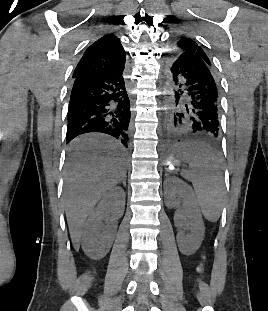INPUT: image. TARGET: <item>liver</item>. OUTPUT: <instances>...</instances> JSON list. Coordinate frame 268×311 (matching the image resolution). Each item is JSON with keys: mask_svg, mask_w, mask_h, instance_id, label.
<instances>
[{"mask_svg": "<svg viewBox=\"0 0 268 311\" xmlns=\"http://www.w3.org/2000/svg\"><path fill=\"white\" fill-rule=\"evenodd\" d=\"M126 173L127 160L118 142L97 136H83L72 142L64 176V205L76 250L87 216Z\"/></svg>", "mask_w": 268, "mask_h": 311, "instance_id": "6515ba94", "label": "liver"}]
</instances>
